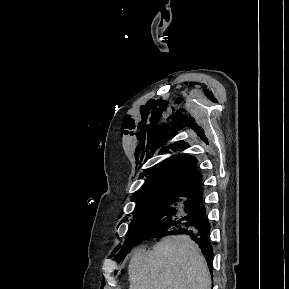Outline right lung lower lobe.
<instances>
[{"label":"right lung lower lobe","instance_id":"obj_1","mask_svg":"<svg viewBox=\"0 0 289 289\" xmlns=\"http://www.w3.org/2000/svg\"><path fill=\"white\" fill-rule=\"evenodd\" d=\"M198 197L200 198V202L195 207L191 217L188 220H186L180 228L172 231L170 234L190 235L194 239V241L197 242L199 246L201 247L203 253L206 256L208 266L211 269L212 260H213V252H212V247L208 239V233L210 231V224L206 218V212H205L203 201H202V195H199ZM154 237L161 238L160 235H156V236L154 235L147 239H151ZM136 244H132V245H136ZM132 245L126 251L128 250L130 251V248L132 247ZM126 251L122 256L126 254Z\"/></svg>","mask_w":289,"mask_h":289}]
</instances>
